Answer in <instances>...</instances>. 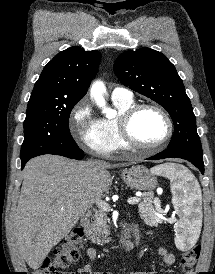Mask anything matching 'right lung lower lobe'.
Here are the masks:
<instances>
[{"instance_id":"obj_1","label":"right lung lower lobe","mask_w":215,"mask_h":274,"mask_svg":"<svg viewBox=\"0 0 215 274\" xmlns=\"http://www.w3.org/2000/svg\"><path fill=\"white\" fill-rule=\"evenodd\" d=\"M49 154L61 155L71 159H81L83 158V151L78 147H73L69 149H62L58 151L51 152ZM31 158L21 159L22 168L24 167L25 163Z\"/></svg>"}]
</instances>
